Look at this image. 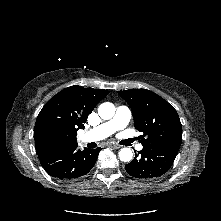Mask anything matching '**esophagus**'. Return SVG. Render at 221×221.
<instances>
[{
  "instance_id": "34e87169",
  "label": "esophagus",
  "mask_w": 221,
  "mask_h": 221,
  "mask_svg": "<svg viewBox=\"0 0 221 221\" xmlns=\"http://www.w3.org/2000/svg\"><path fill=\"white\" fill-rule=\"evenodd\" d=\"M109 146H110L111 148H113V149H119V148H121L120 145L115 144V143H110Z\"/></svg>"
}]
</instances>
